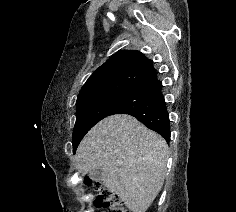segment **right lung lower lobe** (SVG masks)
I'll return each instance as SVG.
<instances>
[{"label":"right lung lower lobe","mask_w":236,"mask_h":212,"mask_svg":"<svg viewBox=\"0 0 236 212\" xmlns=\"http://www.w3.org/2000/svg\"><path fill=\"white\" fill-rule=\"evenodd\" d=\"M112 114L134 116L146 127L159 133L169 143V115L162 93V83L157 78L156 70L138 82L132 88L129 96Z\"/></svg>","instance_id":"98d812e1"}]
</instances>
